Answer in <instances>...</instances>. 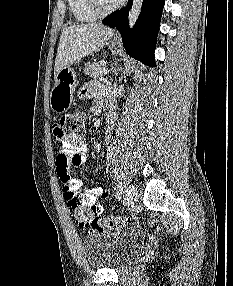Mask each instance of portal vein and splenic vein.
I'll return each instance as SVG.
<instances>
[{"mask_svg":"<svg viewBox=\"0 0 233 286\" xmlns=\"http://www.w3.org/2000/svg\"><path fill=\"white\" fill-rule=\"evenodd\" d=\"M101 73H102L103 75H105V74L108 73V70L104 68V69L101 71Z\"/></svg>","mask_w":233,"mask_h":286,"instance_id":"obj_1","label":"portal vein and splenic vein"}]
</instances>
